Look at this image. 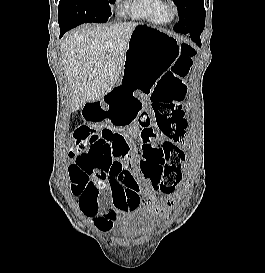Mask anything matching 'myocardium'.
<instances>
[{
    "mask_svg": "<svg viewBox=\"0 0 265 273\" xmlns=\"http://www.w3.org/2000/svg\"><path fill=\"white\" fill-rule=\"evenodd\" d=\"M165 11L169 19L176 18L179 15V6L174 1L166 3Z\"/></svg>",
    "mask_w": 265,
    "mask_h": 273,
    "instance_id": "myocardium-1",
    "label": "myocardium"
}]
</instances>
